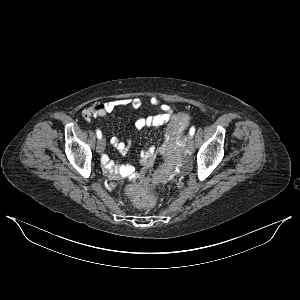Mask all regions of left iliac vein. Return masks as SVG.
Returning <instances> with one entry per match:
<instances>
[{
	"label": "left iliac vein",
	"instance_id": "4c4485c4",
	"mask_svg": "<svg viewBox=\"0 0 300 300\" xmlns=\"http://www.w3.org/2000/svg\"><path fill=\"white\" fill-rule=\"evenodd\" d=\"M185 142H186L188 148L192 149V147H193V138H192V136L190 134H187L185 136Z\"/></svg>",
	"mask_w": 300,
	"mask_h": 300
}]
</instances>
